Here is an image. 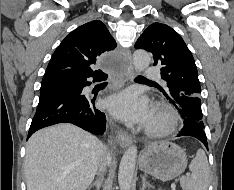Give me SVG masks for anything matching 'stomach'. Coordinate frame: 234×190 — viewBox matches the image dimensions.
<instances>
[{"mask_svg":"<svg viewBox=\"0 0 234 190\" xmlns=\"http://www.w3.org/2000/svg\"><path fill=\"white\" fill-rule=\"evenodd\" d=\"M186 166L185 151L170 141L152 143L144 150L139 160L142 171L163 181L178 177Z\"/></svg>","mask_w":234,"mask_h":190,"instance_id":"1","label":"stomach"}]
</instances>
